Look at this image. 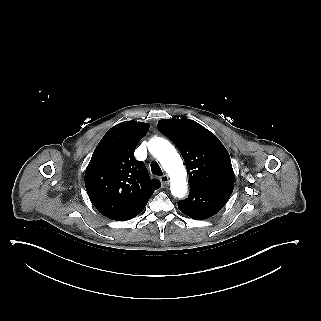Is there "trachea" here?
Here are the masks:
<instances>
[{
  "mask_svg": "<svg viewBox=\"0 0 321 321\" xmlns=\"http://www.w3.org/2000/svg\"><path fill=\"white\" fill-rule=\"evenodd\" d=\"M150 167H151V171L154 175H157V176H162V170L159 166V164L156 162V161H153L151 164H150Z\"/></svg>",
  "mask_w": 321,
  "mask_h": 321,
  "instance_id": "3493384b",
  "label": "trachea"
}]
</instances>
